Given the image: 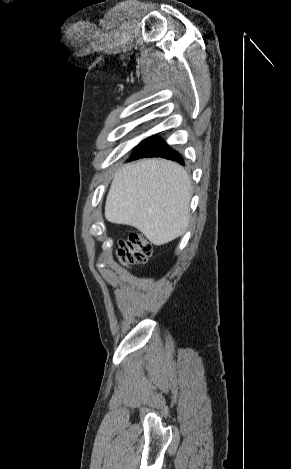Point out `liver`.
Returning a JSON list of instances; mask_svg holds the SVG:
<instances>
[{
	"label": "liver",
	"mask_w": 291,
	"mask_h": 469,
	"mask_svg": "<svg viewBox=\"0 0 291 469\" xmlns=\"http://www.w3.org/2000/svg\"><path fill=\"white\" fill-rule=\"evenodd\" d=\"M191 196V181L184 168L165 159H143L115 173L105 218L138 229L160 246L185 233Z\"/></svg>",
	"instance_id": "6515ba94"
}]
</instances>
